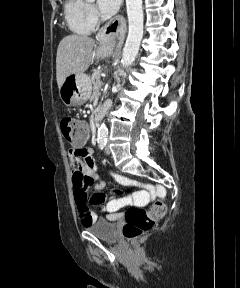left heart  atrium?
<instances>
[{"label":"left heart atrium","mask_w":240,"mask_h":288,"mask_svg":"<svg viewBox=\"0 0 240 288\" xmlns=\"http://www.w3.org/2000/svg\"><path fill=\"white\" fill-rule=\"evenodd\" d=\"M122 0H98V7L102 14L110 15L114 13Z\"/></svg>","instance_id":"39dd6f15"}]
</instances>
